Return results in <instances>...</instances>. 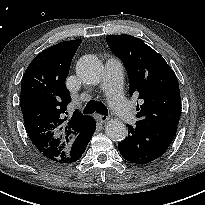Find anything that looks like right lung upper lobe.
Segmentation results:
<instances>
[{"mask_svg":"<svg viewBox=\"0 0 205 205\" xmlns=\"http://www.w3.org/2000/svg\"><path fill=\"white\" fill-rule=\"evenodd\" d=\"M82 40L64 41L39 53L23 75L20 105L28 135L38 151L66 163L73 140L88 127L89 116L66 112L71 101L65 80Z\"/></svg>","mask_w":205,"mask_h":205,"instance_id":"1","label":"right lung upper lobe"}]
</instances>
